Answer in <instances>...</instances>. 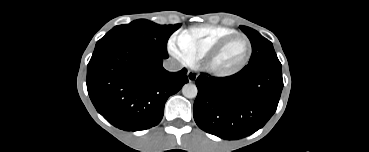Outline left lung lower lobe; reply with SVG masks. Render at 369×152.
I'll return each instance as SVG.
<instances>
[{"instance_id": "obj_1", "label": "left lung lower lobe", "mask_w": 369, "mask_h": 152, "mask_svg": "<svg viewBox=\"0 0 369 152\" xmlns=\"http://www.w3.org/2000/svg\"><path fill=\"white\" fill-rule=\"evenodd\" d=\"M194 102L199 128L226 140L249 136L275 113L283 88L281 66L242 69L228 77L201 74Z\"/></svg>"}]
</instances>
